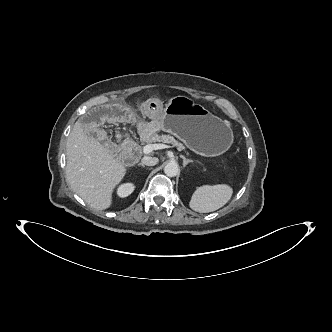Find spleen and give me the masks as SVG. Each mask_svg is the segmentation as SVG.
Returning a JSON list of instances; mask_svg holds the SVG:
<instances>
[{"label":"spleen","instance_id":"3e777b00","mask_svg":"<svg viewBox=\"0 0 332 332\" xmlns=\"http://www.w3.org/2000/svg\"><path fill=\"white\" fill-rule=\"evenodd\" d=\"M233 189L227 184L203 185L192 194L189 206L199 213H209L222 208L232 197Z\"/></svg>","mask_w":332,"mask_h":332}]
</instances>
